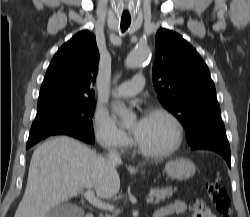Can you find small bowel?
I'll return each instance as SVG.
<instances>
[{"label":"small bowel","instance_id":"c3829d8e","mask_svg":"<svg viewBox=\"0 0 250 217\" xmlns=\"http://www.w3.org/2000/svg\"><path fill=\"white\" fill-rule=\"evenodd\" d=\"M160 217H167L175 214L191 213L192 217H216L206 207L203 200L197 199L191 203L183 200H176L158 210Z\"/></svg>","mask_w":250,"mask_h":217}]
</instances>
